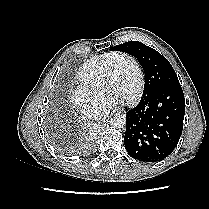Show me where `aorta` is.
<instances>
[{
  "mask_svg": "<svg viewBox=\"0 0 209 209\" xmlns=\"http://www.w3.org/2000/svg\"><path fill=\"white\" fill-rule=\"evenodd\" d=\"M110 124L115 128H123L126 124V117L122 114H115L110 119Z\"/></svg>",
  "mask_w": 209,
  "mask_h": 209,
  "instance_id": "obj_1",
  "label": "aorta"
}]
</instances>
